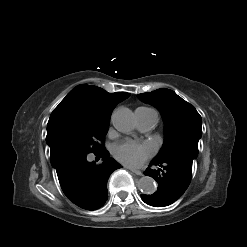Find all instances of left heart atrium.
I'll list each match as a JSON object with an SVG mask.
<instances>
[{
	"label": "left heart atrium",
	"instance_id": "obj_1",
	"mask_svg": "<svg viewBox=\"0 0 247 247\" xmlns=\"http://www.w3.org/2000/svg\"><path fill=\"white\" fill-rule=\"evenodd\" d=\"M113 153L123 164L138 167L153 154V148L147 143L125 140L115 145Z\"/></svg>",
	"mask_w": 247,
	"mask_h": 247
}]
</instances>
